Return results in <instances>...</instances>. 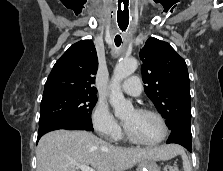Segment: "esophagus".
<instances>
[{
  "mask_svg": "<svg viewBox=\"0 0 223 171\" xmlns=\"http://www.w3.org/2000/svg\"><path fill=\"white\" fill-rule=\"evenodd\" d=\"M115 17L118 22L117 28L120 31H128L130 28V14L126 11L125 13H116Z\"/></svg>",
  "mask_w": 223,
  "mask_h": 171,
  "instance_id": "esophagus-1",
  "label": "esophagus"
}]
</instances>
